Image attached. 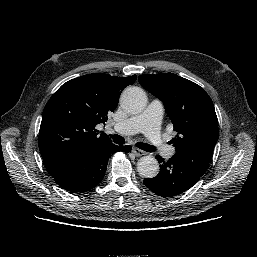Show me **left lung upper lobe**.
Segmentation results:
<instances>
[{"label": "left lung upper lobe", "instance_id": "obj_1", "mask_svg": "<svg viewBox=\"0 0 257 257\" xmlns=\"http://www.w3.org/2000/svg\"><path fill=\"white\" fill-rule=\"evenodd\" d=\"M139 83L165 105L174 130L176 153L208 168L218 140V119L205 90L173 73L140 75Z\"/></svg>", "mask_w": 257, "mask_h": 257}]
</instances>
